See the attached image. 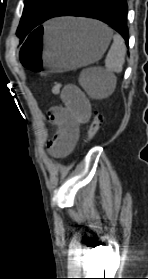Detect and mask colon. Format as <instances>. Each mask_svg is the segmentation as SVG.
Wrapping results in <instances>:
<instances>
[{"mask_svg":"<svg viewBox=\"0 0 148 279\" xmlns=\"http://www.w3.org/2000/svg\"><path fill=\"white\" fill-rule=\"evenodd\" d=\"M64 85L62 83H55L52 87V93L54 95H59L62 93ZM102 123V116L99 112H95L88 123V134L86 141L89 142L96 137L98 134Z\"/></svg>","mask_w":148,"mask_h":279,"instance_id":"colon-1","label":"colon"}]
</instances>
